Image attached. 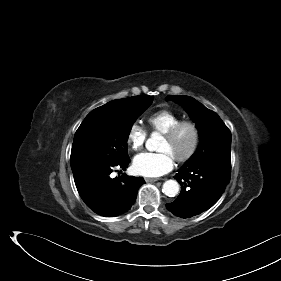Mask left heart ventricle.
I'll return each mask as SVG.
<instances>
[{
  "instance_id": "b2bd125f",
  "label": "left heart ventricle",
  "mask_w": 281,
  "mask_h": 281,
  "mask_svg": "<svg viewBox=\"0 0 281 281\" xmlns=\"http://www.w3.org/2000/svg\"><path fill=\"white\" fill-rule=\"evenodd\" d=\"M193 134L189 128H183L173 140L163 137L159 150L169 152L174 158L184 155L191 147Z\"/></svg>"
}]
</instances>
